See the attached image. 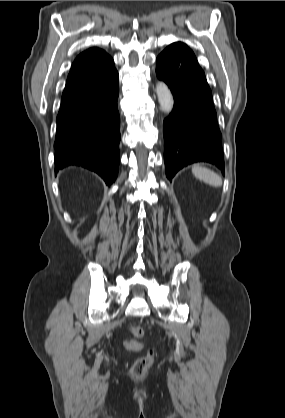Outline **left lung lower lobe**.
Instances as JSON below:
<instances>
[{
    "instance_id": "left-lung-lower-lobe-1",
    "label": "left lung lower lobe",
    "mask_w": 285,
    "mask_h": 418,
    "mask_svg": "<svg viewBox=\"0 0 285 418\" xmlns=\"http://www.w3.org/2000/svg\"><path fill=\"white\" fill-rule=\"evenodd\" d=\"M156 75L175 100L164 120V161L169 180L188 164L204 161L224 173L221 132L212 92L193 51L182 42L169 45L156 59Z\"/></svg>"
}]
</instances>
